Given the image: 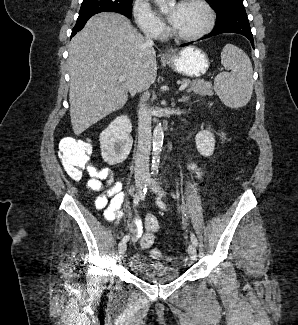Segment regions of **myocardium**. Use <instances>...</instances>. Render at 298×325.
Masks as SVG:
<instances>
[{"instance_id": "f54148a6", "label": "myocardium", "mask_w": 298, "mask_h": 325, "mask_svg": "<svg viewBox=\"0 0 298 325\" xmlns=\"http://www.w3.org/2000/svg\"><path fill=\"white\" fill-rule=\"evenodd\" d=\"M191 2H193L197 7H199L201 9V11L204 14L205 17V22L203 24V26L196 32L191 33V34H181V33H177L175 32L171 26H168V36L173 38V39H177V40H181V41H195L198 40L200 38H202L204 35H206L211 27H212V13L210 8L201 0H190Z\"/></svg>"}]
</instances>
